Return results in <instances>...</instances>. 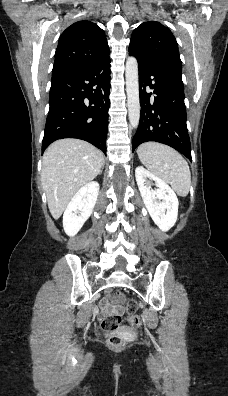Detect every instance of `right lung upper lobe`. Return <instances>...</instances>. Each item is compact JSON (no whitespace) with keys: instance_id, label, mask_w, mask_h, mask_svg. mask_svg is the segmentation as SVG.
<instances>
[{"instance_id":"right-lung-upper-lobe-1","label":"right lung upper lobe","mask_w":228,"mask_h":396,"mask_svg":"<svg viewBox=\"0 0 228 396\" xmlns=\"http://www.w3.org/2000/svg\"><path fill=\"white\" fill-rule=\"evenodd\" d=\"M109 53L105 33L97 24L75 22L59 38L52 75L91 66Z\"/></svg>"}]
</instances>
